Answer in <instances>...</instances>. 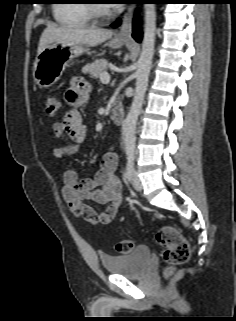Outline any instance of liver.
Instances as JSON below:
<instances>
[{"instance_id": "liver-1", "label": "liver", "mask_w": 236, "mask_h": 321, "mask_svg": "<svg viewBox=\"0 0 236 321\" xmlns=\"http://www.w3.org/2000/svg\"><path fill=\"white\" fill-rule=\"evenodd\" d=\"M113 36V31L108 29L88 27H64L49 24L43 31L38 53L53 43L81 44L88 47L97 46Z\"/></svg>"}]
</instances>
